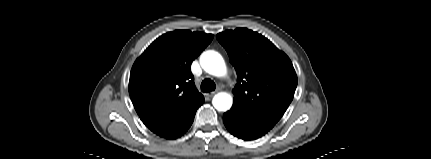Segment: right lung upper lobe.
<instances>
[{"label":"right lung upper lobe","instance_id":"1","mask_svg":"<svg viewBox=\"0 0 431 159\" xmlns=\"http://www.w3.org/2000/svg\"><path fill=\"white\" fill-rule=\"evenodd\" d=\"M212 39V34L201 32H168L135 61L129 94L139 117L155 134L170 137L204 102L190 68Z\"/></svg>","mask_w":431,"mask_h":159}]
</instances>
